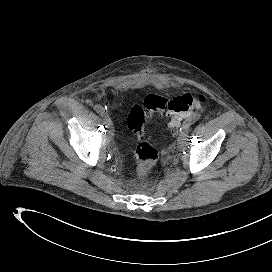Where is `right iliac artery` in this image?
Returning a JSON list of instances; mask_svg holds the SVG:
<instances>
[{
    "label": "right iliac artery",
    "instance_id": "right-iliac-artery-1",
    "mask_svg": "<svg viewBox=\"0 0 272 272\" xmlns=\"http://www.w3.org/2000/svg\"><path fill=\"white\" fill-rule=\"evenodd\" d=\"M94 110L102 116L105 114V109L101 105H94Z\"/></svg>",
    "mask_w": 272,
    "mask_h": 272
}]
</instances>
